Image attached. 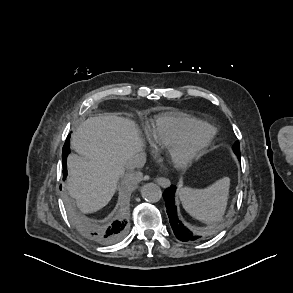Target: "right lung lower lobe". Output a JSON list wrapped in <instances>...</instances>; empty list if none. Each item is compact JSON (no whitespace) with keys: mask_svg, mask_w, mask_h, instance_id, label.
Here are the masks:
<instances>
[{"mask_svg":"<svg viewBox=\"0 0 293 293\" xmlns=\"http://www.w3.org/2000/svg\"><path fill=\"white\" fill-rule=\"evenodd\" d=\"M69 137L67 138L62 153V160H63V179L65 180L67 176V165L66 159L70 152L69 145L70 140ZM84 229L91 233L92 239L100 244H112L121 240L127 230V221L122 217L116 219L113 223L104 225L101 227H90L88 225H84Z\"/></svg>","mask_w":293,"mask_h":293,"instance_id":"98d812e1","label":"right lung lower lobe"}]
</instances>
